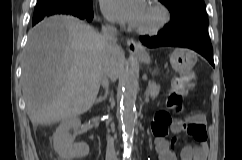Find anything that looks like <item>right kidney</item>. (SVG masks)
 Segmentation results:
<instances>
[{"label": "right kidney", "mask_w": 242, "mask_h": 160, "mask_svg": "<svg viewBox=\"0 0 242 160\" xmlns=\"http://www.w3.org/2000/svg\"><path fill=\"white\" fill-rule=\"evenodd\" d=\"M81 125L79 118L64 120L53 135L54 149L64 160L84 158L89 153V146L85 143H74L70 129H78Z\"/></svg>", "instance_id": "1"}]
</instances>
